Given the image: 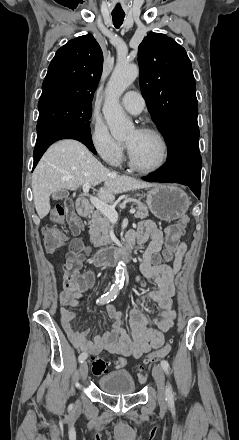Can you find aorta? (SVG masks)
<instances>
[{
	"instance_id": "obj_1",
	"label": "aorta",
	"mask_w": 239,
	"mask_h": 440,
	"mask_svg": "<svg viewBox=\"0 0 239 440\" xmlns=\"http://www.w3.org/2000/svg\"><path fill=\"white\" fill-rule=\"evenodd\" d=\"M138 74L139 70L135 64H129L127 60L125 62L118 60L117 66H115L107 84L103 114L110 128L111 136L115 140H125L128 134L135 130L133 122L126 116V112L120 106L119 98L127 90L128 86L133 84ZM124 266V262H118L115 272L116 286L123 284L125 280Z\"/></svg>"
}]
</instances>
